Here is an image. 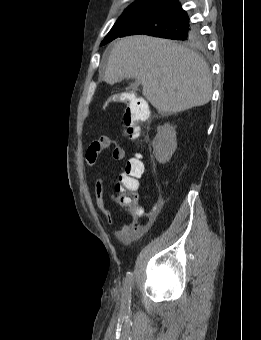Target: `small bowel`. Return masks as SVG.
<instances>
[{"label": "small bowel", "instance_id": "small-bowel-1", "mask_svg": "<svg viewBox=\"0 0 261 340\" xmlns=\"http://www.w3.org/2000/svg\"><path fill=\"white\" fill-rule=\"evenodd\" d=\"M112 145V140L109 136L103 135L94 141L86 150L85 162L88 166L95 165L98 156ZM112 159L115 162L121 161L125 158V150L120 146H115L112 155ZM123 176V175H122ZM121 178V177H120ZM119 178V179H120ZM105 182L104 179H99L95 183V202L96 206L105 219L110 223L114 224V217L110 210L106 208L104 200ZM134 205L138 208L137 212H131L132 222L129 224H122L119 228L115 230V235L118 239L124 243H129L135 238L142 236L149 228L152 217L148 218V221L143 224L141 219L144 216L143 209L139 206L137 200H135Z\"/></svg>", "mask_w": 261, "mask_h": 340}]
</instances>
